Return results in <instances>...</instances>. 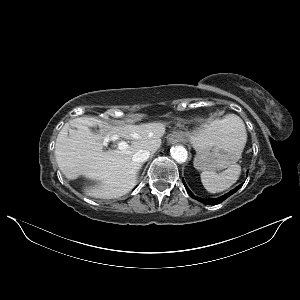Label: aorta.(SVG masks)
Segmentation results:
<instances>
[{
    "instance_id": "1",
    "label": "aorta",
    "mask_w": 300,
    "mask_h": 300,
    "mask_svg": "<svg viewBox=\"0 0 300 300\" xmlns=\"http://www.w3.org/2000/svg\"><path fill=\"white\" fill-rule=\"evenodd\" d=\"M171 157L177 162V163H184L188 158V152L185 147L181 145H176L171 148L170 150Z\"/></svg>"
}]
</instances>
